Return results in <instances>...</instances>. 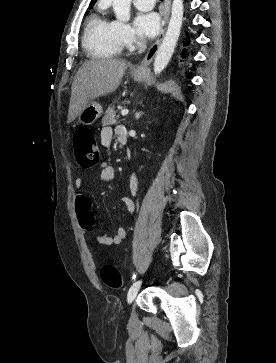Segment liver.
<instances>
[{
  "instance_id": "1",
  "label": "liver",
  "mask_w": 276,
  "mask_h": 363,
  "mask_svg": "<svg viewBox=\"0 0 276 363\" xmlns=\"http://www.w3.org/2000/svg\"><path fill=\"white\" fill-rule=\"evenodd\" d=\"M130 64L120 59L86 61L72 83L67 123H71L94 99L113 93Z\"/></svg>"
}]
</instances>
